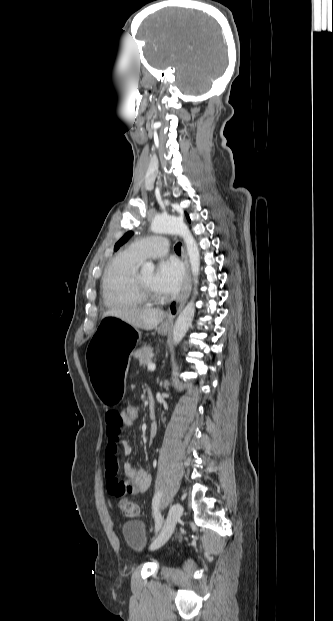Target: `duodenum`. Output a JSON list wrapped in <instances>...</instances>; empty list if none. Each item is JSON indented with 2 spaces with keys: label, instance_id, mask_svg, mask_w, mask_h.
Instances as JSON below:
<instances>
[{
  "label": "duodenum",
  "instance_id": "duodenum-1",
  "mask_svg": "<svg viewBox=\"0 0 333 621\" xmlns=\"http://www.w3.org/2000/svg\"><path fill=\"white\" fill-rule=\"evenodd\" d=\"M148 399H149V404H150L149 415H150V418L153 419L155 416V409H154V400H153V396L151 393H149Z\"/></svg>",
  "mask_w": 333,
  "mask_h": 621
}]
</instances>
